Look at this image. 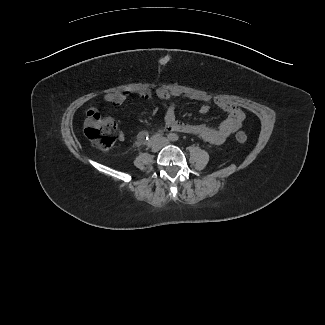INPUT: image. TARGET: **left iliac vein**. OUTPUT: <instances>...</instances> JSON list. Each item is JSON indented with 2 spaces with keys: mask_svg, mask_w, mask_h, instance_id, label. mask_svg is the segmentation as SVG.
<instances>
[{
  "mask_svg": "<svg viewBox=\"0 0 325 325\" xmlns=\"http://www.w3.org/2000/svg\"><path fill=\"white\" fill-rule=\"evenodd\" d=\"M161 142H162V145H167V144H169V141H168L167 139H162Z\"/></svg>",
  "mask_w": 325,
  "mask_h": 325,
  "instance_id": "4c4485c4",
  "label": "left iliac vein"
}]
</instances>
